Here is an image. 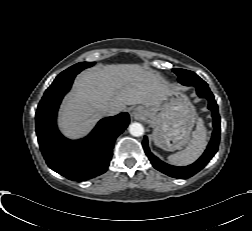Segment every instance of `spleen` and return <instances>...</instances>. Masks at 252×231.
<instances>
[{"label":"spleen","mask_w":252,"mask_h":231,"mask_svg":"<svg viewBox=\"0 0 252 231\" xmlns=\"http://www.w3.org/2000/svg\"><path fill=\"white\" fill-rule=\"evenodd\" d=\"M207 130L201 118L198 119L196 129L192 132V139L186 148L168 157L170 163L186 166L193 163L203 153L207 144Z\"/></svg>","instance_id":"1"}]
</instances>
